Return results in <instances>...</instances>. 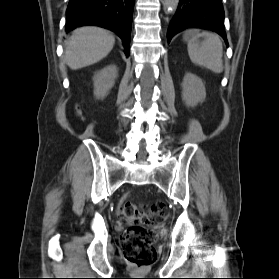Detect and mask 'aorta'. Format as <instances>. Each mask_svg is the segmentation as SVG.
Segmentation results:
<instances>
[{
    "label": "aorta",
    "mask_w": 279,
    "mask_h": 279,
    "mask_svg": "<svg viewBox=\"0 0 279 279\" xmlns=\"http://www.w3.org/2000/svg\"><path fill=\"white\" fill-rule=\"evenodd\" d=\"M165 6L170 13H174L178 7L179 0H164Z\"/></svg>",
    "instance_id": "aorta-1"
}]
</instances>
